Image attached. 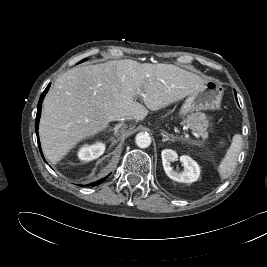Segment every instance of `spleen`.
Segmentation results:
<instances>
[{
    "instance_id": "spleen-1",
    "label": "spleen",
    "mask_w": 267,
    "mask_h": 267,
    "mask_svg": "<svg viewBox=\"0 0 267 267\" xmlns=\"http://www.w3.org/2000/svg\"><path fill=\"white\" fill-rule=\"evenodd\" d=\"M241 148L242 136L240 134H235L230 147L226 151V154L218 167V172L222 180L227 179L234 172Z\"/></svg>"
}]
</instances>
